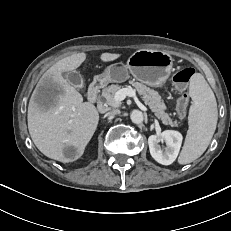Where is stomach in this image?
Instances as JSON below:
<instances>
[{
    "mask_svg": "<svg viewBox=\"0 0 231 231\" xmlns=\"http://www.w3.org/2000/svg\"><path fill=\"white\" fill-rule=\"evenodd\" d=\"M172 56L161 50L141 49L133 53L126 65L108 66L101 77L107 82H123L131 74L136 80L151 87H160L170 76Z\"/></svg>",
    "mask_w": 231,
    "mask_h": 231,
    "instance_id": "stomach-1",
    "label": "stomach"
}]
</instances>
